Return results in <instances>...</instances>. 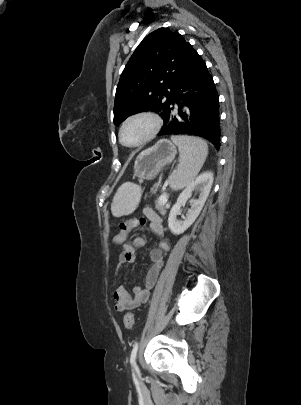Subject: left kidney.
Listing matches in <instances>:
<instances>
[{"label":"left kidney","mask_w":301,"mask_h":405,"mask_svg":"<svg viewBox=\"0 0 301 405\" xmlns=\"http://www.w3.org/2000/svg\"><path fill=\"white\" fill-rule=\"evenodd\" d=\"M212 184L213 174L211 172H204L192 180L179 195L177 202L171 208L168 217V226L174 235H180L186 231L199 216L210 193ZM193 191H197L199 193V197L192 202L191 208L188 209L184 220L180 221L177 219V215L180 214L181 207L192 196Z\"/></svg>","instance_id":"obj_1"}]
</instances>
